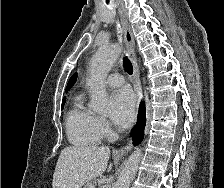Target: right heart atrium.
I'll return each instance as SVG.
<instances>
[{"mask_svg":"<svg viewBox=\"0 0 224 188\" xmlns=\"http://www.w3.org/2000/svg\"><path fill=\"white\" fill-rule=\"evenodd\" d=\"M98 125L102 134L107 135L110 132V126L106 119L98 118Z\"/></svg>","mask_w":224,"mask_h":188,"instance_id":"1","label":"right heart atrium"}]
</instances>
